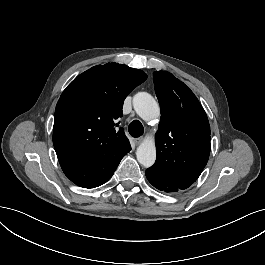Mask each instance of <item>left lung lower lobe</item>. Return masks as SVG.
I'll list each match as a JSON object with an SVG mask.
<instances>
[{
    "instance_id": "1",
    "label": "left lung lower lobe",
    "mask_w": 265,
    "mask_h": 265,
    "mask_svg": "<svg viewBox=\"0 0 265 265\" xmlns=\"http://www.w3.org/2000/svg\"><path fill=\"white\" fill-rule=\"evenodd\" d=\"M146 177L148 181L157 189L164 192H177L180 189L175 185L168 183L166 180L160 178L159 176L153 174L149 170H146Z\"/></svg>"
}]
</instances>
